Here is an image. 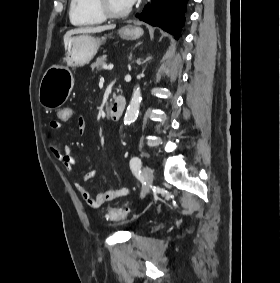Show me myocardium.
Returning a JSON list of instances; mask_svg holds the SVG:
<instances>
[{"mask_svg": "<svg viewBox=\"0 0 280 283\" xmlns=\"http://www.w3.org/2000/svg\"><path fill=\"white\" fill-rule=\"evenodd\" d=\"M95 1V6L98 9V11L105 17L109 19H118V18H123L127 16L131 10L132 7L129 6L126 10L121 11V12H116L113 11L109 5L107 0H94Z\"/></svg>", "mask_w": 280, "mask_h": 283, "instance_id": "f54148a6", "label": "myocardium"}]
</instances>
